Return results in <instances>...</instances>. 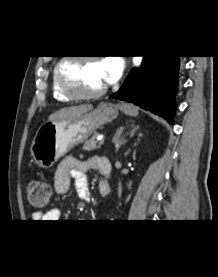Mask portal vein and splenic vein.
Wrapping results in <instances>:
<instances>
[{
	"instance_id": "portal-vein-and-splenic-vein-1",
	"label": "portal vein and splenic vein",
	"mask_w": 218,
	"mask_h": 277,
	"mask_svg": "<svg viewBox=\"0 0 218 277\" xmlns=\"http://www.w3.org/2000/svg\"><path fill=\"white\" fill-rule=\"evenodd\" d=\"M98 141L100 146L104 144V140L102 138H99Z\"/></svg>"
}]
</instances>
